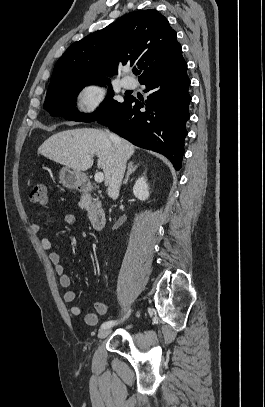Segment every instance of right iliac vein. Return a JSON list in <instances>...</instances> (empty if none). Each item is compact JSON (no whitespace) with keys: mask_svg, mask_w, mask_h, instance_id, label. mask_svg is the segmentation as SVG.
<instances>
[{"mask_svg":"<svg viewBox=\"0 0 265 407\" xmlns=\"http://www.w3.org/2000/svg\"><path fill=\"white\" fill-rule=\"evenodd\" d=\"M111 330L109 328H103L99 331L98 337L100 339L106 338L110 334Z\"/></svg>","mask_w":265,"mask_h":407,"instance_id":"obj_1","label":"right iliac vein"}]
</instances>
